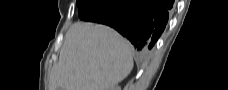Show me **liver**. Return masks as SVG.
Listing matches in <instances>:
<instances>
[{
    "instance_id": "liver-1",
    "label": "liver",
    "mask_w": 228,
    "mask_h": 90,
    "mask_svg": "<svg viewBox=\"0 0 228 90\" xmlns=\"http://www.w3.org/2000/svg\"><path fill=\"white\" fill-rule=\"evenodd\" d=\"M132 68L127 40L109 27L77 22L66 33L59 61L50 73L49 90H108Z\"/></svg>"
}]
</instances>
